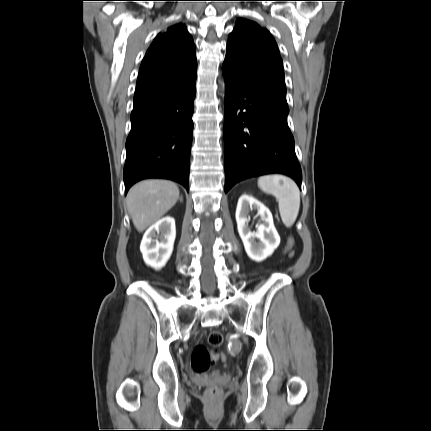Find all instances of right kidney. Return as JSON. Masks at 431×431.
<instances>
[{
    "mask_svg": "<svg viewBox=\"0 0 431 431\" xmlns=\"http://www.w3.org/2000/svg\"><path fill=\"white\" fill-rule=\"evenodd\" d=\"M175 237V220L172 217H164L152 225L140 245L144 262L154 269L164 267L172 254Z\"/></svg>",
    "mask_w": 431,
    "mask_h": 431,
    "instance_id": "ca27d5eb",
    "label": "right kidney"
}]
</instances>
